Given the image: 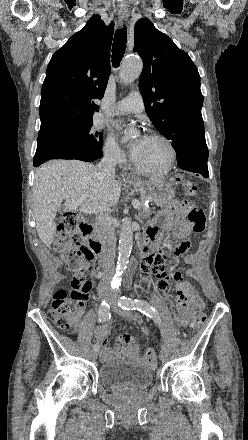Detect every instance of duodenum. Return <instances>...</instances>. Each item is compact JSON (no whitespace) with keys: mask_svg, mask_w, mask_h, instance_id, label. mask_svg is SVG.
Listing matches in <instances>:
<instances>
[{"mask_svg":"<svg viewBox=\"0 0 248 440\" xmlns=\"http://www.w3.org/2000/svg\"><path fill=\"white\" fill-rule=\"evenodd\" d=\"M91 225H92L91 220L88 218H85L82 221V226H81L82 233L88 238V241H89L92 249L100 257H104V255H105L104 243L100 238H98L92 234V226ZM155 250H156V248L154 247V245H152L148 241L141 242V244H140V253L143 257H149L150 255H152L155 252ZM101 273L102 272H100L99 275H101Z\"/></svg>","mask_w":248,"mask_h":440,"instance_id":"1","label":"duodenum"}]
</instances>
